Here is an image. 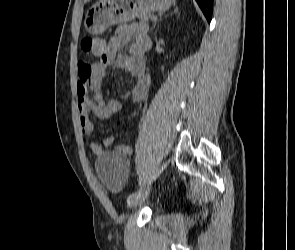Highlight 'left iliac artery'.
I'll use <instances>...</instances> for the list:
<instances>
[{
    "instance_id": "1",
    "label": "left iliac artery",
    "mask_w": 295,
    "mask_h": 250,
    "mask_svg": "<svg viewBox=\"0 0 295 250\" xmlns=\"http://www.w3.org/2000/svg\"><path fill=\"white\" fill-rule=\"evenodd\" d=\"M142 189L138 190V191H135L133 192L132 194H130L127 198V202L130 204V202L135 199L136 197H138L141 193Z\"/></svg>"
}]
</instances>
